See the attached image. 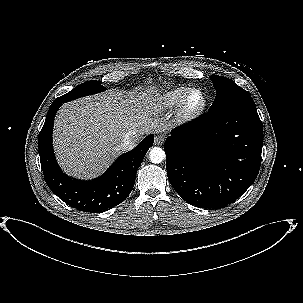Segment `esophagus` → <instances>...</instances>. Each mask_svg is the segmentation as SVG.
I'll return each instance as SVG.
<instances>
[{"label": "esophagus", "instance_id": "obj_1", "mask_svg": "<svg viewBox=\"0 0 303 303\" xmlns=\"http://www.w3.org/2000/svg\"><path fill=\"white\" fill-rule=\"evenodd\" d=\"M164 140H165V137L163 135H157L155 137V141H154L155 145H162Z\"/></svg>", "mask_w": 303, "mask_h": 303}]
</instances>
